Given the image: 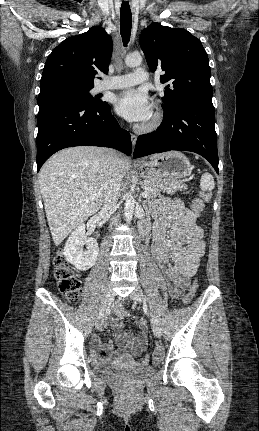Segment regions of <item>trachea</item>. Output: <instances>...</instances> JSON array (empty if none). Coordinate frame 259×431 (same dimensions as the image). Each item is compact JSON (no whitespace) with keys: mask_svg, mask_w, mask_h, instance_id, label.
I'll return each mask as SVG.
<instances>
[{"mask_svg":"<svg viewBox=\"0 0 259 431\" xmlns=\"http://www.w3.org/2000/svg\"><path fill=\"white\" fill-rule=\"evenodd\" d=\"M132 27V14L128 2H122L120 10V32L124 42V46L127 45L131 35Z\"/></svg>","mask_w":259,"mask_h":431,"instance_id":"trachea-1","label":"trachea"}]
</instances>
